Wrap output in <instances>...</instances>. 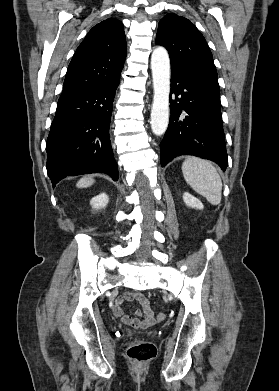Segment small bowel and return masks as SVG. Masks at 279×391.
<instances>
[{"label": "small bowel", "instance_id": "obj_1", "mask_svg": "<svg viewBox=\"0 0 279 391\" xmlns=\"http://www.w3.org/2000/svg\"><path fill=\"white\" fill-rule=\"evenodd\" d=\"M125 301H137L142 310H137L136 315L140 318H132L123 311V304ZM113 313L116 317L127 325L137 329H146L155 324L154 312L150 306L148 299L141 293L127 292L119 297L113 307Z\"/></svg>", "mask_w": 279, "mask_h": 391}]
</instances>
